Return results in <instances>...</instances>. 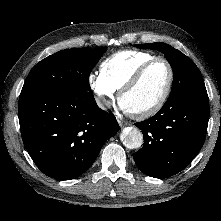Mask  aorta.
Here are the masks:
<instances>
[{"instance_id":"aorta-1","label":"aorta","mask_w":221,"mask_h":221,"mask_svg":"<svg viewBox=\"0 0 221 221\" xmlns=\"http://www.w3.org/2000/svg\"><path fill=\"white\" fill-rule=\"evenodd\" d=\"M122 142L128 149H138L143 144V134L136 127L126 128L122 134Z\"/></svg>"}]
</instances>
